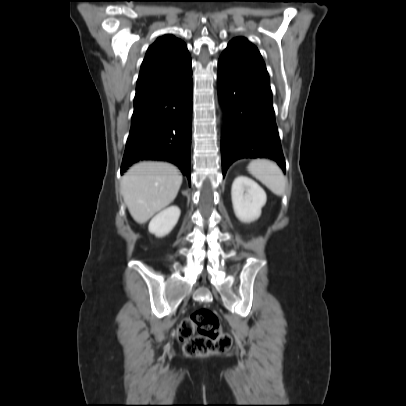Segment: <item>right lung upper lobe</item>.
Segmentation results:
<instances>
[{"instance_id":"1","label":"right lung upper lobe","mask_w":406,"mask_h":406,"mask_svg":"<svg viewBox=\"0 0 406 406\" xmlns=\"http://www.w3.org/2000/svg\"><path fill=\"white\" fill-rule=\"evenodd\" d=\"M191 68V57L183 41L172 35L158 38L147 50L136 85L141 96L176 79Z\"/></svg>"}]
</instances>
